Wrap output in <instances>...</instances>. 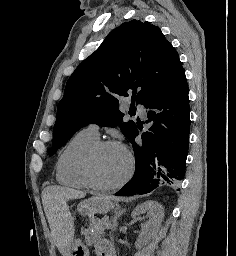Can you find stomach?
Listing matches in <instances>:
<instances>
[{"instance_id": "1", "label": "stomach", "mask_w": 236, "mask_h": 256, "mask_svg": "<svg viewBox=\"0 0 236 256\" xmlns=\"http://www.w3.org/2000/svg\"><path fill=\"white\" fill-rule=\"evenodd\" d=\"M113 207V203L107 197L94 196L81 201L77 206V211L83 216H92L97 213H107ZM69 256H89V250L80 239H76Z\"/></svg>"}]
</instances>
